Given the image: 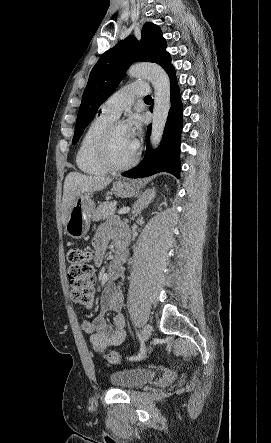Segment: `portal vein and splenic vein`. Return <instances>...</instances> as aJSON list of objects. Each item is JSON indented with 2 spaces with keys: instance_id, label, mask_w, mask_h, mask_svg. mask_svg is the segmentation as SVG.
<instances>
[{
  "instance_id": "18ae733b",
  "label": "portal vein and splenic vein",
  "mask_w": 271,
  "mask_h": 443,
  "mask_svg": "<svg viewBox=\"0 0 271 443\" xmlns=\"http://www.w3.org/2000/svg\"><path fill=\"white\" fill-rule=\"evenodd\" d=\"M130 208H122V210H119L118 214H128Z\"/></svg>"
}]
</instances>
